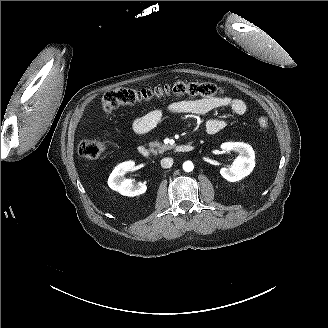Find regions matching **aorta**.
<instances>
[{
  "label": "aorta",
  "instance_id": "1",
  "mask_svg": "<svg viewBox=\"0 0 328 328\" xmlns=\"http://www.w3.org/2000/svg\"><path fill=\"white\" fill-rule=\"evenodd\" d=\"M194 169V165L191 161H185L183 163V170L185 172H191Z\"/></svg>",
  "mask_w": 328,
  "mask_h": 328
}]
</instances>
